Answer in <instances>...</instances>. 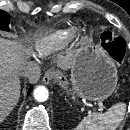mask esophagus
I'll use <instances>...</instances> for the list:
<instances>
[{"label":"esophagus","instance_id":"34e87169","mask_svg":"<svg viewBox=\"0 0 130 130\" xmlns=\"http://www.w3.org/2000/svg\"><path fill=\"white\" fill-rule=\"evenodd\" d=\"M55 76H57L56 71H54V70L47 71L43 77V83L46 85L50 84Z\"/></svg>","mask_w":130,"mask_h":130}]
</instances>
